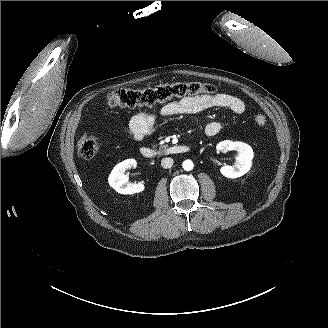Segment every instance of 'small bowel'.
<instances>
[{"label": "small bowel", "mask_w": 328, "mask_h": 328, "mask_svg": "<svg viewBox=\"0 0 328 328\" xmlns=\"http://www.w3.org/2000/svg\"><path fill=\"white\" fill-rule=\"evenodd\" d=\"M213 108H224L235 114H242L245 111V104L240 98L225 93L186 96L162 106L159 115L168 117L180 114H197ZM156 125V114L139 112L130 118L124 127V132L131 139L141 140L152 134ZM221 129L220 122L211 121L207 123L205 133L207 136L213 137L218 135Z\"/></svg>", "instance_id": "c3829d8e"}]
</instances>
